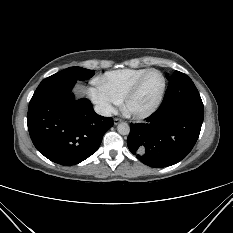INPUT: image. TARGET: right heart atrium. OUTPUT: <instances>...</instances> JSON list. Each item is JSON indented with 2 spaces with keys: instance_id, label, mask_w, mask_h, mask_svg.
<instances>
[{
  "instance_id": "obj_1",
  "label": "right heart atrium",
  "mask_w": 233,
  "mask_h": 233,
  "mask_svg": "<svg viewBox=\"0 0 233 233\" xmlns=\"http://www.w3.org/2000/svg\"><path fill=\"white\" fill-rule=\"evenodd\" d=\"M88 95L98 110L103 114H110L119 101L97 82L88 89Z\"/></svg>"
}]
</instances>
